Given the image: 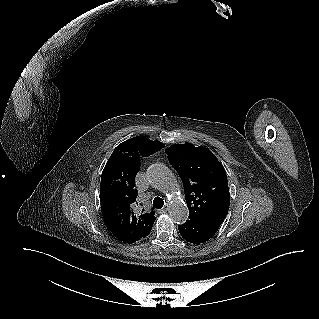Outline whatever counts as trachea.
<instances>
[{"label": "trachea", "mask_w": 319, "mask_h": 319, "mask_svg": "<svg viewBox=\"0 0 319 319\" xmlns=\"http://www.w3.org/2000/svg\"><path fill=\"white\" fill-rule=\"evenodd\" d=\"M153 206L154 208L156 209H161L163 206H164V201L162 198L160 197H155L154 200H153Z\"/></svg>", "instance_id": "trachea-1"}]
</instances>
